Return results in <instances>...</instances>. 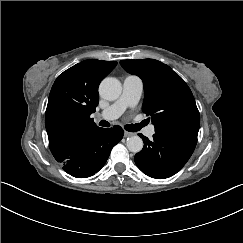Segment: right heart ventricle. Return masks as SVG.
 <instances>
[{"label":"right heart ventricle","mask_w":243,"mask_h":243,"mask_svg":"<svg viewBox=\"0 0 243 243\" xmlns=\"http://www.w3.org/2000/svg\"><path fill=\"white\" fill-rule=\"evenodd\" d=\"M128 76L133 77V78H139V77L136 76V75H128Z\"/></svg>","instance_id":"1"}]
</instances>
